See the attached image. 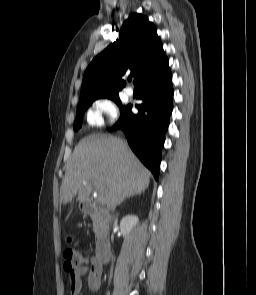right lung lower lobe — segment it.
I'll return each instance as SVG.
<instances>
[{
    "label": "right lung lower lobe",
    "mask_w": 256,
    "mask_h": 295,
    "mask_svg": "<svg viewBox=\"0 0 256 295\" xmlns=\"http://www.w3.org/2000/svg\"><path fill=\"white\" fill-rule=\"evenodd\" d=\"M136 84L143 100L141 105H136L138 114H133L132 105H127L110 131L120 128L133 152L158 179L161 149L173 109L172 74L168 59L145 73Z\"/></svg>",
    "instance_id": "98d812e1"
}]
</instances>
